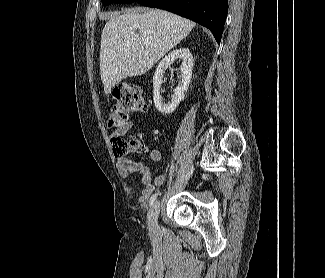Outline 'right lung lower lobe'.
I'll use <instances>...</instances> for the list:
<instances>
[{
    "label": "right lung lower lobe",
    "mask_w": 325,
    "mask_h": 278,
    "mask_svg": "<svg viewBox=\"0 0 325 278\" xmlns=\"http://www.w3.org/2000/svg\"><path fill=\"white\" fill-rule=\"evenodd\" d=\"M141 5L164 9L210 29L220 43L228 0H137Z\"/></svg>",
    "instance_id": "right-lung-lower-lobe-1"
}]
</instances>
